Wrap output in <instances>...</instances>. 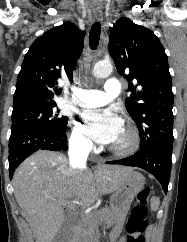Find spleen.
I'll return each instance as SVG.
<instances>
[{
	"label": "spleen",
	"mask_w": 187,
	"mask_h": 242,
	"mask_svg": "<svg viewBox=\"0 0 187 242\" xmlns=\"http://www.w3.org/2000/svg\"><path fill=\"white\" fill-rule=\"evenodd\" d=\"M159 204H160V199L158 197H154V198L151 199V209L153 211L158 210Z\"/></svg>",
	"instance_id": "obj_1"
}]
</instances>
